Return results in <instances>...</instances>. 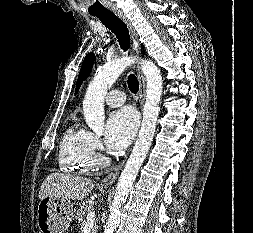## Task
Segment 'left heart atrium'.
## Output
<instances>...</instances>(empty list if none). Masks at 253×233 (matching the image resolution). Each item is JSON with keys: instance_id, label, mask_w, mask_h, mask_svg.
Segmentation results:
<instances>
[{"instance_id": "39dd6f15", "label": "left heart atrium", "mask_w": 253, "mask_h": 233, "mask_svg": "<svg viewBox=\"0 0 253 233\" xmlns=\"http://www.w3.org/2000/svg\"><path fill=\"white\" fill-rule=\"evenodd\" d=\"M137 126L138 118L132 109L123 108L112 113L106 125V145L115 151L126 148L132 141Z\"/></svg>"}]
</instances>
